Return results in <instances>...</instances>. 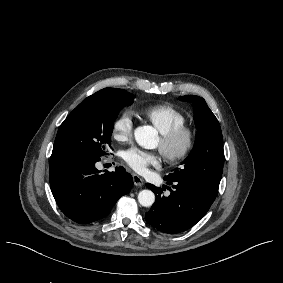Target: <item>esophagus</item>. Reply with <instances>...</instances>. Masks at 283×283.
<instances>
[{"mask_svg": "<svg viewBox=\"0 0 283 283\" xmlns=\"http://www.w3.org/2000/svg\"><path fill=\"white\" fill-rule=\"evenodd\" d=\"M133 183L136 186H142L144 184V181L137 174H133Z\"/></svg>", "mask_w": 283, "mask_h": 283, "instance_id": "1", "label": "esophagus"}]
</instances>
